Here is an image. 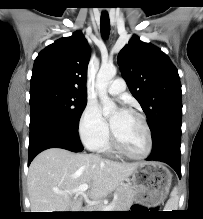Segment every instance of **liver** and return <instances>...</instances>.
<instances>
[{
  "label": "liver",
  "instance_id": "6515ba94",
  "mask_svg": "<svg viewBox=\"0 0 203 219\" xmlns=\"http://www.w3.org/2000/svg\"><path fill=\"white\" fill-rule=\"evenodd\" d=\"M137 166L138 163L115 162L94 154L47 149L38 154L29 167L27 184L31 210L79 212L82 198L72 199V194L58 192H70L88 184L90 191L87 196L99 200L118 189Z\"/></svg>",
  "mask_w": 203,
  "mask_h": 219
}]
</instances>
